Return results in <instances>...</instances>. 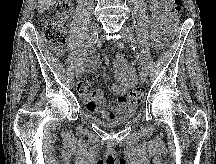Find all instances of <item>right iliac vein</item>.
Segmentation results:
<instances>
[{
    "instance_id": "obj_1",
    "label": "right iliac vein",
    "mask_w": 216,
    "mask_h": 164,
    "mask_svg": "<svg viewBox=\"0 0 216 164\" xmlns=\"http://www.w3.org/2000/svg\"><path fill=\"white\" fill-rule=\"evenodd\" d=\"M98 31H99V24L93 23V25L91 26V30H90L89 40L93 39ZM81 75H82V68L81 69L77 68L76 69V77L79 78Z\"/></svg>"
}]
</instances>
